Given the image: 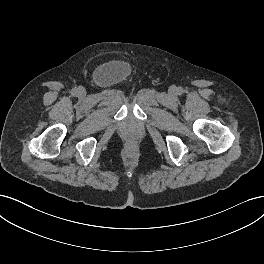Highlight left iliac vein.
Segmentation results:
<instances>
[{"instance_id": "left-iliac-vein-1", "label": "left iliac vein", "mask_w": 264, "mask_h": 264, "mask_svg": "<svg viewBox=\"0 0 264 264\" xmlns=\"http://www.w3.org/2000/svg\"><path fill=\"white\" fill-rule=\"evenodd\" d=\"M172 91L174 92L175 91V88H172Z\"/></svg>"}]
</instances>
